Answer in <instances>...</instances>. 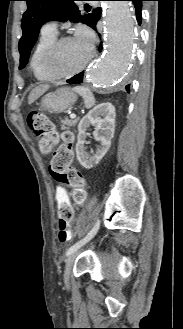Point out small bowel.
<instances>
[{
	"label": "small bowel",
	"instance_id": "1",
	"mask_svg": "<svg viewBox=\"0 0 183 329\" xmlns=\"http://www.w3.org/2000/svg\"><path fill=\"white\" fill-rule=\"evenodd\" d=\"M52 194L54 199H62L58 201L56 207V218H73L75 208L72 206L71 201L65 199H71V187H59L57 182L52 184Z\"/></svg>",
	"mask_w": 183,
	"mask_h": 329
}]
</instances>
